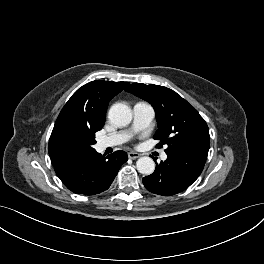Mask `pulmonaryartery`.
I'll return each instance as SVG.
<instances>
[{
  "label": "pulmonary artery",
  "instance_id": "obj_1",
  "mask_svg": "<svg viewBox=\"0 0 264 264\" xmlns=\"http://www.w3.org/2000/svg\"><path fill=\"white\" fill-rule=\"evenodd\" d=\"M154 117L155 110L149 103L143 101L137 102L133 106L132 130L113 133L111 135L103 137L98 141V147L103 150L108 147H113L125 143L129 140L133 132H138L147 128L153 121ZM161 159H167L166 153L161 154Z\"/></svg>",
  "mask_w": 264,
  "mask_h": 264
}]
</instances>
